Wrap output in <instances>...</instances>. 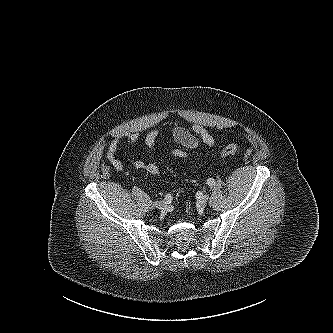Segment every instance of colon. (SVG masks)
Segmentation results:
<instances>
[{"instance_id":"1","label":"colon","mask_w":333,"mask_h":333,"mask_svg":"<svg viewBox=\"0 0 333 333\" xmlns=\"http://www.w3.org/2000/svg\"><path fill=\"white\" fill-rule=\"evenodd\" d=\"M238 151H239V146L237 144H229L220 151V156L221 157L232 156L236 154ZM172 155L176 158H183L187 157L189 153L185 150L175 149L172 152ZM145 171L150 175H158L160 172L158 166L155 164H147Z\"/></svg>"}]
</instances>
